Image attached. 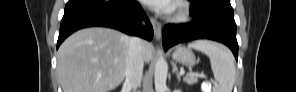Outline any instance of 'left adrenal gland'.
I'll return each mask as SVG.
<instances>
[{
  "label": "left adrenal gland",
  "instance_id": "a2214340",
  "mask_svg": "<svg viewBox=\"0 0 296 92\" xmlns=\"http://www.w3.org/2000/svg\"><path fill=\"white\" fill-rule=\"evenodd\" d=\"M172 72L176 74V77L178 79V82H180V80H181V74L179 73V70L177 68L176 63L173 64V70H172Z\"/></svg>",
  "mask_w": 296,
  "mask_h": 92
}]
</instances>
